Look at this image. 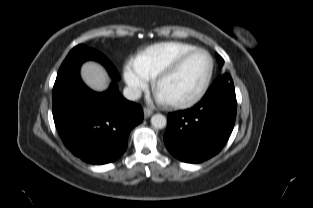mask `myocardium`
<instances>
[{
    "label": "myocardium",
    "instance_id": "1",
    "mask_svg": "<svg viewBox=\"0 0 313 208\" xmlns=\"http://www.w3.org/2000/svg\"><path fill=\"white\" fill-rule=\"evenodd\" d=\"M196 53L205 54L209 61V69H208L207 76L201 88L198 90V92L194 96L188 99L165 101L169 106L173 108H187V107L193 106L204 97V95L209 89V86L212 81L213 73H214V60L212 56L205 49L195 48L193 50H190L188 52L181 54L178 58H176V60L172 64H170L166 69L160 72L155 78L153 88H154V91L158 94V90L160 86L162 85V83L168 78H170L171 76H173L174 74H176L179 71V69L182 67L184 62L189 57H191L192 55Z\"/></svg>",
    "mask_w": 313,
    "mask_h": 208
}]
</instances>
